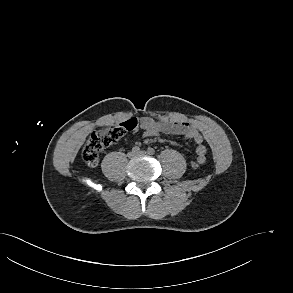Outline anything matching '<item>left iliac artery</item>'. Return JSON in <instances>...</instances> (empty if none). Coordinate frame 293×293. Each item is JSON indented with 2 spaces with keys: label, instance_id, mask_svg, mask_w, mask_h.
Returning <instances> with one entry per match:
<instances>
[{
  "label": "left iliac artery",
  "instance_id": "44dca946",
  "mask_svg": "<svg viewBox=\"0 0 293 293\" xmlns=\"http://www.w3.org/2000/svg\"><path fill=\"white\" fill-rule=\"evenodd\" d=\"M147 153H148L149 155H153V154L155 153V150H154L153 148L149 147V148L147 149Z\"/></svg>",
  "mask_w": 293,
  "mask_h": 293
}]
</instances>
